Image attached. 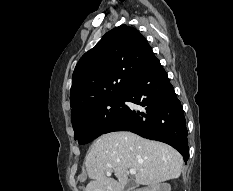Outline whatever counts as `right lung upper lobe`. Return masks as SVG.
Returning a JSON list of instances; mask_svg holds the SVG:
<instances>
[{"label": "right lung upper lobe", "mask_w": 233, "mask_h": 191, "mask_svg": "<svg viewBox=\"0 0 233 191\" xmlns=\"http://www.w3.org/2000/svg\"><path fill=\"white\" fill-rule=\"evenodd\" d=\"M153 56L140 32L121 25L107 32L78 61L70 92L71 117L126 96Z\"/></svg>", "instance_id": "cb5924a9"}]
</instances>
